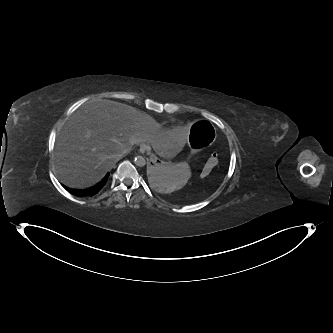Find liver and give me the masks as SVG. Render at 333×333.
Masks as SVG:
<instances>
[{"label":"liver","instance_id":"6515ba94","mask_svg":"<svg viewBox=\"0 0 333 333\" xmlns=\"http://www.w3.org/2000/svg\"><path fill=\"white\" fill-rule=\"evenodd\" d=\"M190 141L186 131H160L159 124L136 108L111 101H89L66 121L55 145L54 170L63 184L84 189L102 180L134 145L149 143L171 159Z\"/></svg>","mask_w":333,"mask_h":333}]
</instances>
